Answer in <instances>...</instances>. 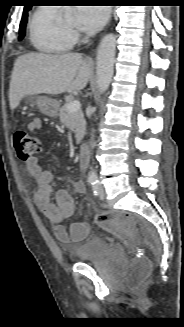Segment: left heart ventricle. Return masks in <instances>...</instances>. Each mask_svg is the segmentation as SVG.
I'll return each mask as SVG.
<instances>
[{
  "instance_id": "1",
  "label": "left heart ventricle",
  "mask_w": 184,
  "mask_h": 327,
  "mask_svg": "<svg viewBox=\"0 0 184 327\" xmlns=\"http://www.w3.org/2000/svg\"><path fill=\"white\" fill-rule=\"evenodd\" d=\"M77 24V20L75 16H71L67 21L64 23V26L67 28H74Z\"/></svg>"
}]
</instances>
